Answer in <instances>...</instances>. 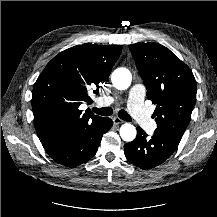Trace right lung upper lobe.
I'll return each mask as SVG.
<instances>
[{
	"instance_id": "obj_1",
	"label": "right lung upper lobe",
	"mask_w": 217,
	"mask_h": 217,
	"mask_svg": "<svg viewBox=\"0 0 217 217\" xmlns=\"http://www.w3.org/2000/svg\"><path fill=\"white\" fill-rule=\"evenodd\" d=\"M122 51L121 45L83 44L60 52L45 67L34 84V125L41 143L77 133L100 119L91 111L82 113V102L91 103L89 89L107 80Z\"/></svg>"
}]
</instances>
